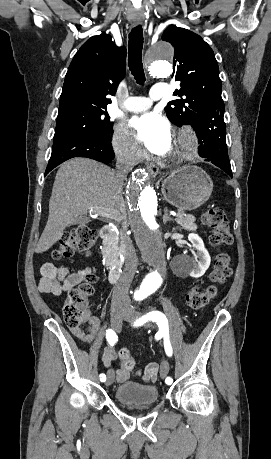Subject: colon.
<instances>
[{
    "label": "colon",
    "instance_id": "colon-1",
    "mask_svg": "<svg viewBox=\"0 0 271 459\" xmlns=\"http://www.w3.org/2000/svg\"><path fill=\"white\" fill-rule=\"evenodd\" d=\"M203 225L211 230L210 242L217 248L218 253L213 262L209 279L213 283L205 289L191 288L186 295L189 307L199 309L207 305L217 294L214 284H223L232 274V259L224 251L233 242L229 220L225 211L213 207L203 213ZM97 240V231L89 226L80 225L62 235L52 257L56 260L68 258L76 252L89 254ZM96 277L93 274L86 276L84 282L70 289L64 306V320L69 327H77L89 316L88 298L93 294V285ZM122 368L127 372H134L135 360L128 349L120 350Z\"/></svg>",
    "mask_w": 271,
    "mask_h": 459
}]
</instances>
